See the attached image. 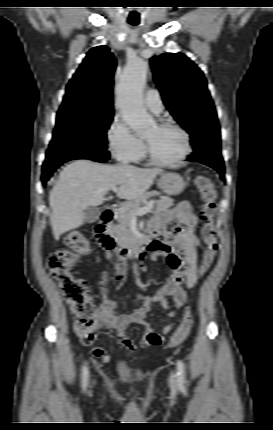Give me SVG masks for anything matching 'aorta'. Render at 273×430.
<instances>
[{
  "instance_id": "762f6f07",
  "label": "aorta",
  "mask_w": 273,
  "mask_h": 430,
  "mask_svg": "<svg viewBox=\"0 0 273 430\" xmlns=\"http://www.w3.org/2000/svg\"><path fill=\"white\" fill-rule=\"evenodd\" d=\"M148 70L145 60L134 59L127 65L117 87V105L123 119L138 134H144L155 123L142 99Z\"/></svg>"
}]
</instances>
